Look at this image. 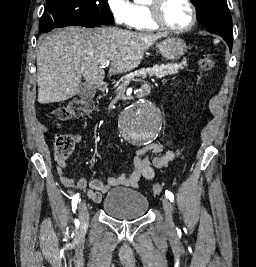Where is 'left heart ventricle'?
Here are the masks:
<instances>
[{"label": "left heart ventricle", "mask_w": 256, "mask_h": 267, "mask_svg": "<svg viewBox=\"0 0 256 267\" xmlns=\"http://www.w3.org/2000/svg\"><path fill=\"white\" fill-rule=\"evenodd\" d=\"M163 21L175 29L187 27L191 22V12L189 7L180 0H168L163 4L161 11ZM144 28L140 31L146 32L152 29V25L143 22Z\"/></svg>", "instance_id": "obj_1"}]
</instances>
